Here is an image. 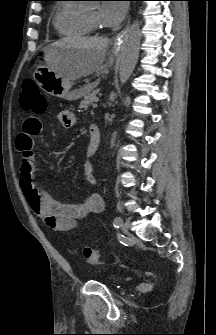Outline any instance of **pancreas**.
I'll use <instances>...</instances> for the list:
<instances>
[{
    "label": "pancreas",
    "instance_id": "cf45deb5",
    "mask_svg": "<svg viewBox=\"0 0 216 335\" xmlns=\"http://www.w3.org/2000/svg\"><path fill=\"white\" fill-rule=\"evenodd\" d=\"M83 92L84 99L80 102L79 108L87 109L89 105H91L97 99L96 95L98 94L99 90L92 91V86L87 85L83 88Z\"/></svg>",
    "mask_w": 216,
    "mask_h": 335
}]
</instances>
